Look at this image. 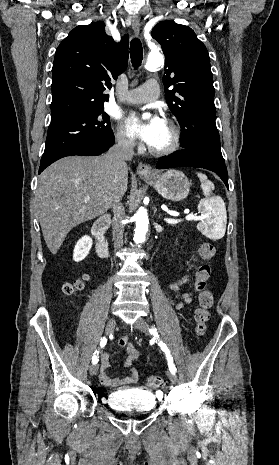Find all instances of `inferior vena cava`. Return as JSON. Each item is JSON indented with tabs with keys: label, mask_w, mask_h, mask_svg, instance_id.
I'll list each match as a JSON object with an SVG mask.
<instances>
[{
	"label": "inferior vena cava",
	"mask_w": 279,
	"mask_h": 465,
	"mask_svg": "<svg viewBox=\"0 0 279 465\" xmlns=\"http://www.w3.org/2000/svg\"><path fill=\"white\" fill-rule=\"evenodd\" d=\"M133 155L134 143L125 136H119L117 138V144L111 147L106 153L105 159L109 167L113 170L116 181H118L119 174L127 169L126 161L131 160ZM122 197L123 193H116L111 198L113 211L112 231L115 249L123 245L124 224L122 223V217L124 209L121 204Z\"/></svg>",
	"instance_id": "1"
}]
</instances>
